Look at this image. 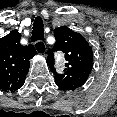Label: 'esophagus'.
I'll use <instances>...</instances> for the list:
<instances>
[{
    "label": "esophagus",
    "instance_id": "esophagus-1",
    "mask_svg": "<svg viewBox=\"0 0 117 117\" xmlns=\"http://www.w3.org/2000/svg\"><path fill=\"white\" fill-rule=\"evenodd\" d=\"M36 44H39V45H38V50H37V48H36ZM35 48H36V51L38 52V54H40V55H45L46 52H47L46 45H45V43L42 42V41H37V42L35 43Z\"/></svg>",
    "mask_w": 117,
    "mask_h": 117
}]
</instances>
